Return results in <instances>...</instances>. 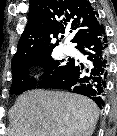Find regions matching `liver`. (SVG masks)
<instances>
[{
	"label": "liver",
	"mask_w": 117,
	"mask_h": 136,
	"mask_svg": "<svg viewBox=\"0 0 117 136\" xmlns=\"http://www.w3.org/2000/svg\"><path fill=\"white\" fill-rule=\"evenodd\" d=\"M99 117L89 98L35 89L20 95L9 112V136H92Z\"/></svg>",
	"instance_id": "liver-1"
}]
</instances>
